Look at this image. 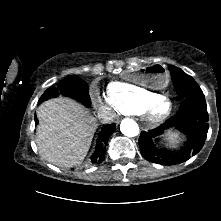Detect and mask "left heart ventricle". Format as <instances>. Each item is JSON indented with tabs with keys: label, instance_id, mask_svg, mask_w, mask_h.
Listing matches in <instances>:
<instances>
[{
	"label": "left heart ventricle",
	"instance_id": "1",
	"mask_svg": "<svg viewBox=\"0 0 221 221\" xmlns=\"http://www.w3.org/2000/svg\"><path fill=\"white\" fill-rule=\"evenodd\" d=\"M169 109V103L167 101H162L158 104L156 112L158 114H163Z\"/></svg>",
	"mask_w": 221,
	"mask_h": 221
}]
</instances>
